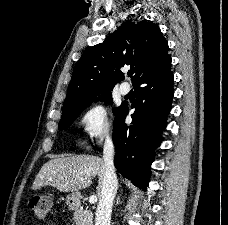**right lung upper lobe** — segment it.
Listing matches in <instances>:
<instances>
[{
	"label": "right lung upper lobe",
	"mask_w": 228,
	"mask_h": 225,
	"mask_svg": "<svg viewBox=\"0 0 228 225\" xmlns=\"http://www.w3.org/2000/svg\"><path fill=\"white\" fill-rule=\"evenodd\" d=\"M168 55V43L158 25L126 21L103 43L87 49L77 61L64 106L110 93L124 79L125 65L135 66L133 85L148 69Z\"/></svg>",
	"instance_id": "obj_1"
}]
</instances>
